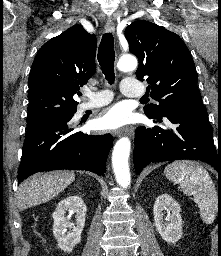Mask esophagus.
<instances>
[{"mask_svg":"<svg viewBox=\"0 0 221 256\" xmlns=\"http://www.w3.org/2000/svg\"><path fill=\"white\" fill-rule=\"evenodd\" d=\"M105 30L109 33H112L115 31V23L113 21L112 18H109L107 21H106V24H105ZM122 134H128L130 136H133L134 134V127L133 126H130V127H126L122 130H117L115 132V135L117 136H121Z\"/></svg>","mask_w":221,"mask_h":256,"instance_id":"1","label":"esophagus"}]
</instances>
